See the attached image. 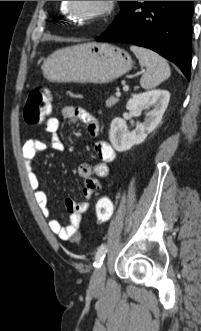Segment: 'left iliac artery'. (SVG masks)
<instances>
[{"label": "left iliac artery", "instance_id": "1", "mask_svg": "<svg viewBox=\"0 0 201 331\" xmlns=\"http://www.w3.org/2000/svg\"><path fill=\"white\" fill-rule=\"evenodd\" d=\"M106 252H107V247L105 244H102L99 248H98V252L96 254V257H95V262H94V267L95 268H99L101 265H102V262L105 258V255H106Z\"/></svg>", "mask_w": 201, "mask_h": 331}]
</instances>
